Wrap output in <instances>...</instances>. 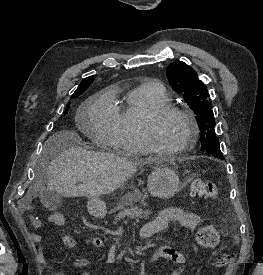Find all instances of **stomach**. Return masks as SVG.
Instances as JSON below:
<instances>
[{
	"mask_svg": "<svg viewBox=\"0 0 263 275\" xmlns=\"http://www.w3.org/2000/svg\"><path fill=\"white\" fill-rule=\"evenodd\" d=\"M147 185L149 192L159 198H171L182 188L178 173L166 166L156 167L149 175ZM87 208L97 218H102L106 213L105 203L99 199L89 200Z\"/></svg>",
	"mask_w": 263,
	"mask_h": 275,
	"instance_id": "obj_1",
	"label": "stomach"
}]
</instances>
